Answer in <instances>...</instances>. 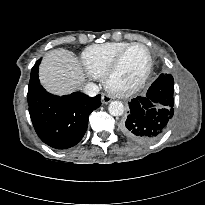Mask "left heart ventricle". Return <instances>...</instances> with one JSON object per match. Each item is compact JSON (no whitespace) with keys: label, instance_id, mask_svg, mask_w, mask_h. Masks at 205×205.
Instances as JSON below:
<instances>
[{"label":"left heart ventricle","instance_id":"obj_1","mask_svg":"<svg viewBox=\"0 0 205 205\" xmlns=\"http://www.w3.org/2000/svg\"><path fill=\"white\" fill-rule=\"evenodd\" d=\"M148 65V54L143 47H133L124 56L120 67L113 77L115 86L126 87L134 84Z\"/></svg>","mask_w":205,"mask_h":205}]
</instances>
